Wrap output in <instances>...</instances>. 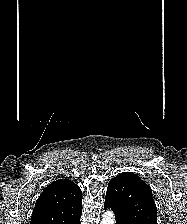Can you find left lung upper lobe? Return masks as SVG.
I'll return each mask as SVG.
<instances>
[{
	"mask_svg": "<svg viewBox=\"0 0 187 224\" xmlns=\"http://www.w3.org/2000/svg\"><path fill=\"white\" fill-rule=\"evenodd\" d=\"M129 224H157L152 190L137 174L123 172L108 185L106 198Z\"/></svg>",
	"mask_w": 187,
	"mask_h": 224,
	"instance_id": "obj_1",
	"label": "left lung upper lobe"
}]
</instances>
